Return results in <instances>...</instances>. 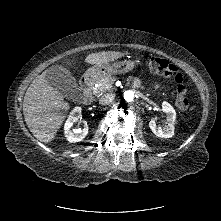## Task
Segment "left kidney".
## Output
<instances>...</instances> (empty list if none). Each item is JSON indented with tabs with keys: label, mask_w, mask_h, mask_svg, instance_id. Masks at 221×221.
<instances>
[{
	"label": "left kidney",
	"mask_w": 221,
	"mask_h": 221,
	"mask_svg": "<svg viewBox=\"0 0 221 221\" xmlns=\"http://www.w3.org/2000/svg\"><path fill=\"white\" fill-rule=\"evenodd\" d=\"M162 111L167 115V126L164 128L157 127L155 119H151L149 127L156 136L170 138L174 135L176 112L174 108L167 102L162 103Z\"/></svg>",
	"instance_id": "left-kidney-1"
}]
</instances>
